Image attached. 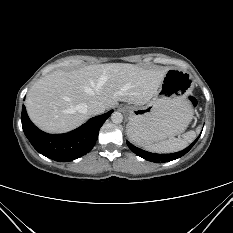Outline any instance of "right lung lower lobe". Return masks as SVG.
<instances>
[{
	"label": "right lung lower lobe",
	"instance_id": "1",
	"mask_svg": "<svg viewBox=\"0 0 233 233\" xmlns=\"http://www.w3.org/2000/svg\"><path fill=\"white\" fill-rule=\"evenodd\" d=\"M113 110L89 119L79 128L64 134H48L39 130L29 119L25 106L22 108V128L42 155L59 162L75 160L88 153L95 145L100 127Z\"/></svg>",
	"mask_w": 233,
	"mask_h": 233
}]
</instances>
